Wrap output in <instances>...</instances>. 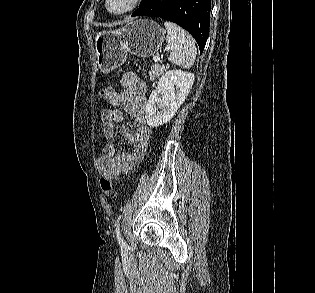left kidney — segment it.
Listing matches in <instances>:
<instances>
[{"instance_id":"obj_1","label":"left kidney","mask_w":315,"mask_h":293,"mask_svg":"<svg viewBox=\"0 0 315 293\" xmlns=\"http://www.w3.org/2000/svg\"><path fill=\"white\" fill-rule=\"evenodd\" d=\"M194 79L193 73L181 70H170L159 79L145 110L147 124L150 127L163 125L173 118L187 98ZM159 93L162 94L161 100H158ZM156 103H159L158 107Z\"/></svg>"}]
</instances>
